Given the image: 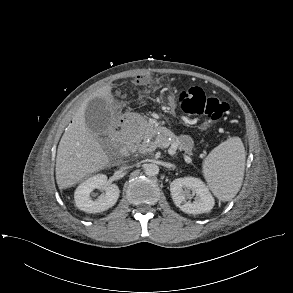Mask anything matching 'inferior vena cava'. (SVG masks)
Wrapping results in <instances>:
<instances>
[{
	"mask_svg": "<svg viewBox=\"0 0 293 293\" xmlns=\"http://www.w3.org/2000/svg\"><path fill=\"white\" fill-rule=\"evenodd\" d=\"M128 168H129L128 166L121 167L122 170H125V169H128Z\"/></svg>",
	"mask_w": 293,
	"mask_h": 293,
	"instance_id": "602c4592",
	"label": "inferior vena cava"
}]
</instances>
